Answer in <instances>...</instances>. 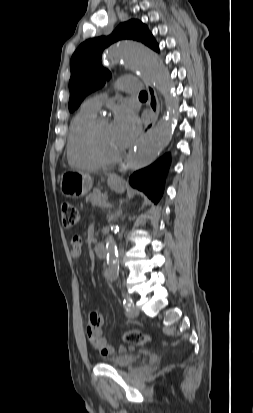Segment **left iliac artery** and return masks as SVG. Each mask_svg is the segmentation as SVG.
Here are the masks:
<instances>
[{"mask_svg":"<svg viewBox=\"0 0 253 413\" xmlns=\"http://www.w3.org/2000/svg\"><path fill=\"white\" fill-rule=\"evenodd\" d=\"M133 303L132 299L129 296H125L124 300H123V305L128 308L131 306V304Z\"/></svg>","mask_w":253,"mask_h":413,"instance_id":"obj_1","label":"left iliac artery"}]
</instances>
